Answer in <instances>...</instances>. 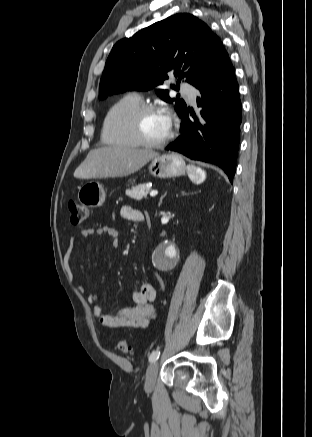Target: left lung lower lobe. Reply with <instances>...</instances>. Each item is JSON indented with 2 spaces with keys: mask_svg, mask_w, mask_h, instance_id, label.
<instances>
[{
  "mask_svg": "<svg viewBox=\"0 0 312 437\" xmlns=\"http://www.w3.org/2000/svg\"><path fill=\"white\" fill-rule=\"evenodd\" d=\"M201 98L197 114L189 109L180 115L181 136L166 147L187 157L221 167L229 180L235 174L240 142L241 101L233 66L226 51L209 75L196 86Z\"/></svg>",
  "mask_w": 312,
  "mask_h": 437,
  "instance_id": "1",
  "label": "left lung lower lobe"
}]
</instances>
